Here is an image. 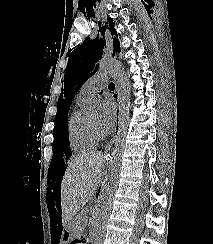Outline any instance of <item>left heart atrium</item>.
Segmentation results:
<instances>
[{
  "label": "left heart atrium",
  "mask_w": 213,
  "mask_h": 244,
  "mask_svg": "<svg viewBox=\"0 0 213 244\" xmlns=\"http://www.w3.org/2000/svg\"><path fill=\"white\" fill-rule=\"evenodd\" d=\"M104 107L105 111L101 121V127L104 131H109L112 129L115 123L117 106L113 99L108 97L105 100Z\"/></svg>",
  "instance_id": "obj_1"
}]
</instances>
